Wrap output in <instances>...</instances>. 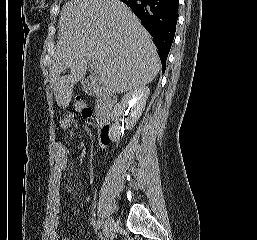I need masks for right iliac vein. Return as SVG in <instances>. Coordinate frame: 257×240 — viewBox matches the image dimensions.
Segmentation results:
<instances>
[{
	"instance_id": "obj_1",
	"label": "right iliac vein",
	"mask_w": 257,
	"mask_h": 240,
	"mask_svg": "<svg viewBox=\"0 0 257 240\" xmlns=\"http://www.w3.org/2000/svg\"><path fill=\"white\" fill-rule=\"evenodd\" d=\"M115 227V220L112 217H108L104 223L103 233L107 237L113 231Z\"/></svg>"
}]
</instances>
